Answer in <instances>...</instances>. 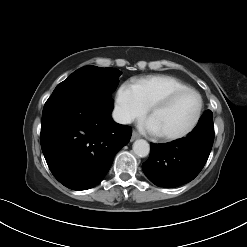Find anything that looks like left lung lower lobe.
Returning a JSON list of instances; mask_svg holds the SVG:
<instances>
[{
    "instance_id": "obj_1",
    "label": "left lung lower lobe",
    "mask_w": 247,
    "mask_h": 247,
    "mask_svg": "<svg viewBox=\"0 0 247 247\" xmlns=\"http://www.w3.org/2000/svg\"><path fill=\"white\" fill-rule=\"evenodd\" d=\"M214 141L213 114L207 110L184 139L150 144L143 172L155 185L173 188L193 180L204 167Z\"/></svg>"
}]
</instances>
